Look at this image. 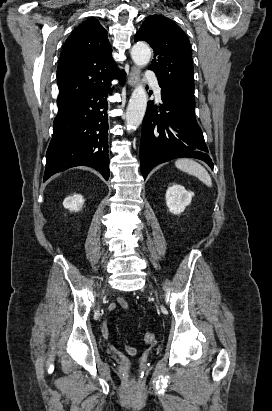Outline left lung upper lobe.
<instances>
[{"label": "left lung upper lobe", "mask_w": 272, "mask_h": 411, "mask_svg": "<svg viewBox=\"0 0 272 411\" xmlns=\"http://www.w3.org/2000/svg\"><path fill=\"white\" fill-rule=\"evenodd\" d=\"M134 40L146 41L153 48L149 69L157 75L159 86L195 103L192 51L184 31L170 19L152 15L143 22Z\"/></svg>", "instance_id": "left-lung-upper-lobe-1"}]
</instances>
